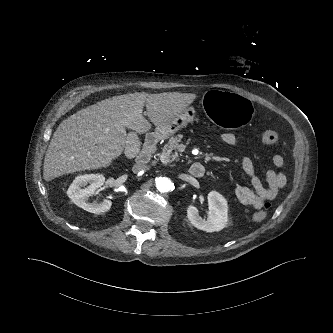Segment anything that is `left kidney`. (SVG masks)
<instances>
[{
  "mask_svg": "<svg viewBox=\"0 0 333 333\" xmlns=\"http://www.w3.org/2000/svg\"><path fill=\"white\" fill-rule=\"evenodd\" d=\"M209 212L207 220L202 219L198 209L190 205L187 209V217L197 229L206 232L221 231L228 221V205L226 199L216 191L208 194Z\"/></svg>",
  "mask_w": 333,
  "mask_h": 333,
  "instance_id": "obj_1",
  "label": "left kidney"
}]
</instances>
